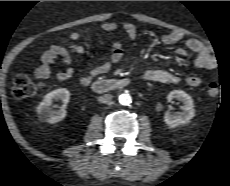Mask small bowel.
I'll list each match as a JSON object with an SVG mask.
<instances>
[{"instance_id": "small-bowel-1", "label": "small bowel", "mask_w": 230, "mask_h": 186, "mask_svg": "<svg viewBox=\"0 0 230 186\" xmlns=\"http://www.w3.org/2000/svg\"><path fill=\"white\" fill-rule=\"evenodd\" d=\"M104 32H114L118 30V25L112 22L102 23L98 27ZM90 28H86L82 31L72 32L69 35L71 40H78L82 35L88 33ZM123 31L126 36L134 40L137 36V29L131 23H126L123 25ZM184 46L177 49L174 55L178 58H187L190 54H195L194 65L199 69L214 70L217 67V60L211 54L209 49L202 44L200 41L192 38H186L183 33L180 32H169L161 37V42L165 45H172L184 40ZM76 52L84 55L86 50L82 46L76 47ZM65 53V49L57 44L51 45L41 56V65L34 70V74L38 79H47L50 76V66L55 62V60ZM123 58L122 45L118 42L114 43L110 49L109 58L101 63L100 65L94 67L89 74L79 75L73 67H68L63 71L58 72L55 78L58 81H64L68 79L75 78L82 85H89L92 80L102 74L108 72L111 67L120 62ZM66 63H69L68 59H65ZM141 78L145 81L160 82V83H178L182 80V77L168 71L164 68H150L146 70ZM186 83L191 87H197L201 84V78L195 75L186 78Z\"/></svg>"}]
</instances>
